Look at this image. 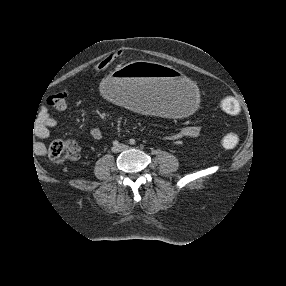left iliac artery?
<instances>
[{
    "instance_id": "44dca946",
    "label": "left iliac artery",
    "mask_w": 286,
    "mask_h": 286,
    "mask_svg": "<svg viewBox=\"0 0 286 286\" xmlns=\"http://www.w3.org/2000/svg\"><path fill=\"white\" fill-rule=\"evenodd\" d=\"M129 142H130L131 145H134L136 143L135 139H130Z\"/></svg>"
}]
</instances>
